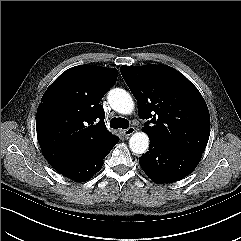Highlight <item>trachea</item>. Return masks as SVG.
Masks as SVG:
<instances>
[{"label":"trachea","mask_w":241,"mask_h":241,"mask_svg":"<svg viewBox=\"0 0 241 241\" xmlns=\"http://www.w3.org/2000/svg\"><path fill=\"white\" fill-rule=\"evenodd\" d=\"M110 127L114 129H127L129 127V122L125 118H112L110 121Z\"/></svg>","instance_id":"1"}]
</instances>
